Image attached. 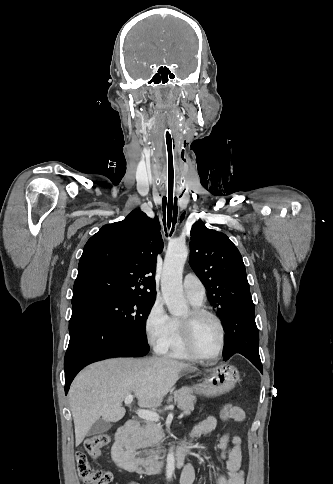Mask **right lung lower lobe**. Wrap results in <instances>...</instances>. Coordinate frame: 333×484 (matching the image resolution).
<instances>
[{
	"instance_id": "1",
	"label": "right lung lower lobe",
	"mask_w": 333,
	"mask_h": 484,
	"mask_svg": "<svg viewBox=\"0 0 333 484\" xmlns=\"http://www.w3.org/2000/svg\"><path fill=\"white\" fill-rule=\"evenodd\" d=\"M70 341L64 360L65 392L86 365L116 356H144L149 346L111 323L99 310L81 301L72 303Z\"/></svg>"
}]
</instances>
